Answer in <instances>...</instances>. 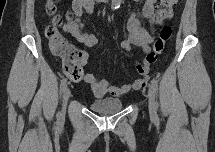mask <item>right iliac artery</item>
I'll return each mask as SVG.
<instances>
[{
    "label": "right iliac artery",
    "mask_w": 215,
    "mask_h": 152,
    "mask_svg": "<svg viewBox=\"0 0 215 152\" xmlns=\"http://www.w3.org/2000/svg\"><path fill=\"white\" fill-rule=\"evenodd\" d=\"M66 84H67V80H66V79H63V80L61 81V84H60V91H61V93L65 91V89H66ZM57 117H58V119H60L62 116H61L60 113H58V114H57Z\"/></svg>",
    "instance_id": "right-iliac-artery-1"
}]
</instances>
